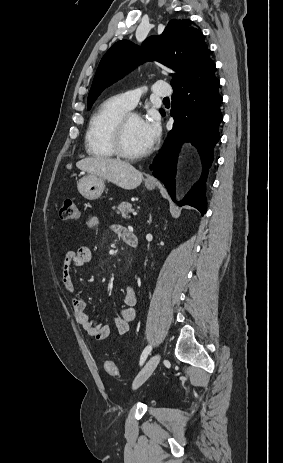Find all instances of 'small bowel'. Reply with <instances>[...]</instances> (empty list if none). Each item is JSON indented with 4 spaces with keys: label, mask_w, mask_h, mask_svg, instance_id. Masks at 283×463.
<instances>
[{
    "label": "small bowel",
    "mask_w": 283,
    "mask_h": 463,
    "mask_svg": "<svg viewBox=\"0 0 283 463\" xmlns=\"http://www.w3.org/2000/svg\"><path fill=\"white\" fill-rule=\"evenodd\" d=\"M99 218L95 215H90L86 224L90 229H96L99 226ZM114 232L124 239L128 231L127 228L121 225H113ZM92 257L91 249L88 246H81L76 250H70L66 253L63 261L62 282L66 292L72 297L73 313L76 322L98 341L107 339L112 327L109 324H99L92 319L86 310V302L74 295L75 284L73 278V269L82 266L90 261ZM123 299L125 306L117 312L114 320L116 331L119 335H125L129 332L131 324L136 318L134 305L136 303V292L133 287L127 286L123 291Z\"/></svg>",
    "instance_id": "1"
}]
</instances>
